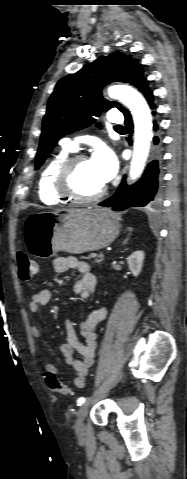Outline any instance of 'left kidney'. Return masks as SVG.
Instances as JSON below:
<instances>
[{
	"instance_id": "1",
	"label": "left kidney",
	"mask_w": 187,
	"mask_h": 479,
	"mask_svg": "<svg viewBox=\"0 0 187 479\" xmlns=\"http://www.w3.org/2000/svg\"><path fill=\"white\" fill-rule=\"evenodd\" d=\"M145 254L143 251H135L128 258L127 263L133 276L137 277L142 269Z\"/></svg>"
}]
</instances>
